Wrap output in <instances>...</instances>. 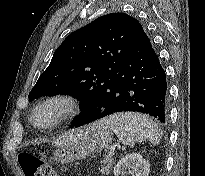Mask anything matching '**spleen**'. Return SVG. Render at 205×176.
<instances>
[{"label": "spleen", "instance_id": "obj_1", "mask_svg": "<svg viewBox=\"0 0 205 176\" xmlns=\"http://www.w3.org/2000/svg\"><path fill=\"white\" fill-rule=\"evenodd\" d=\"M101 127L111 129L119 141L126 145L149 140L158 145L161 139L158 126L146 115L122 112L110 115L97 122Z\"/></svg>", "mask_w": 205, "mask_h": 176}]
</instances>
